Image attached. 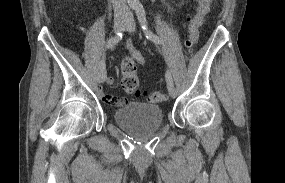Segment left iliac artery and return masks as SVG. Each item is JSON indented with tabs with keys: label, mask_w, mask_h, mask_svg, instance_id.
<instances>
[{
	"label": "left iliac artery",
	"mask_w": 285,
	"mask_h": 183,
	"mask_svg": "<svg viewBox=\"0 0 285 183\" xmlns=\"http://www.w3.org/2000/svg\"><path fill=\"white\" fill-rule=\"evenodd\" d=\"M135 10H136L137 17H138L139 23L141 25V28L143 29L144 33L146 34L147 39L153 41L156 44H161L160 38L148 30L146 14H145V10H144L143 6H138L135 8ZM166 80L168 83L172 82V77H171V74L168 70L166 71Z\"/></svg>",
	"instance_id": "obj_1"
}]
</instances>
